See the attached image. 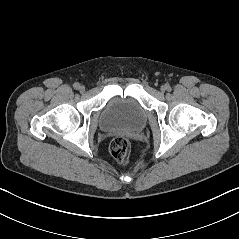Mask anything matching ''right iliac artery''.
<instances>
[{
    "instance_id": "obj_1",
    "label": "right iliac artery",
    "mask_w": 239,
    "mask_h": 239,
    "mask_svg": "<svg viewBox=\"0 0 239 239\" xmlns=\"http://www.w3.org/2000/svg\"><path fill=\"white\" fill-rule=\"evenodd\" d=\"M73 87H74V89H79L80 84H79V83H74V84H73Z\"/></svg>"
}]
</instances>
